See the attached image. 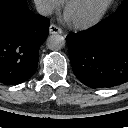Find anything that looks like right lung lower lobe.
I'll return each instance as SVG.
<instances>
[{
	"label": "right lung lower lobe",
	"instance_id": "98d812e1",
	"mask_svg": "<svg viewBox=\"0 0 128 128\" xmlns=\"http://www.w3.org/2000/svg\"><path fill=\"white\" fill-rule=\"evenodd\" d=\"M49 20L28 9L26 0H0V82L16 85L36 71Z\"/></svg>",
	"mask_w": 128,
	"mask_h": 128
}]
</instances>
